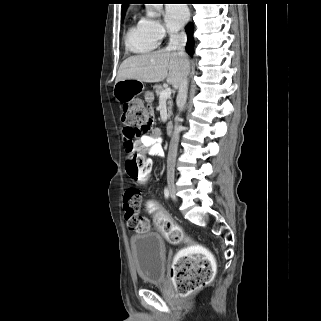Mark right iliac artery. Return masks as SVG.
<instances>
[{
    "label": "right iliac artery",
    "instance_id": "82829eb1",
    "mask_svg": "<svg viewBox=\"0 0 321 321\" xmlns=\"http://www.w3.org/2000/svg\"><path fill=\"white\" fill-rule=\"evenodd\" d=\"M164 195H165V198H166V199L169 198V190H168V188H165V189H164Z\"/></svg>",
    "mask_w": 321,
    "mask_h": 321
}]
</instances>
